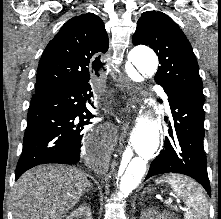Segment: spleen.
<instances>
[{
	"label": "spleen",
	"instance_id": "obj_1",
	"mask_svg": "<svg viewBox=\"0 0 221 219\" xmlns=\"http://www.w3.org/2000/svg\"><path fill=\"white\" fill-rule=\"evenodd\" d=\"M158 182H167L188 207L185 219H208L209 205L202 188L192 179L181 175L163 176Z\"/></svg>",
	"mask_w": 221,
	"mask_h": 219
}]
</instances>
